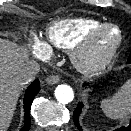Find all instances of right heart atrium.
<instances>
[{"mask_svg":"<svg viewBox=\"0 0 131 131\" xmlns=\"http://www.w3.org/2000/svg\"><path fill=\"white\" fill-rule=\"evenodd\" d=\"M31 50L34 56L44 59L50 55L47 45L41 40L34 38L31 44Z\"/></svg>","mask_w":131,"mask_h":131,"instance_id":"right-heart-atrium-1","label":"right heart atrium"}]
</instances>
